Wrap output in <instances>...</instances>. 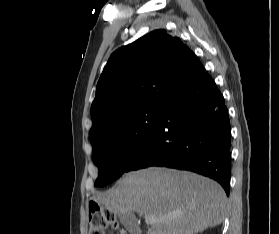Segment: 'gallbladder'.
Here are the masks:
<instances>
[{
  "label": "gallbladder",
  "mask_w": 279,
  "mask_h": 234,
  "mask_svg": "<svg viewBox=\"0 0 279 234\" xmlns=\"http://www.w3.org/2000/svg\"><path fill=\"white\" fill-rule=\"evenodd\" d=\"M119 219L128 231L132 234H139L137 220L133 214H119Z\"/></svg>",
  "instance_id": "bac80fb5"
}]
</instances>
